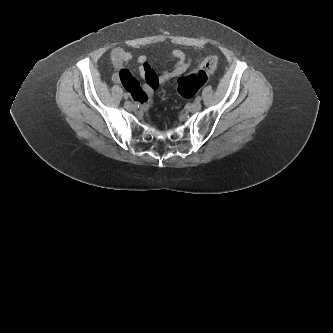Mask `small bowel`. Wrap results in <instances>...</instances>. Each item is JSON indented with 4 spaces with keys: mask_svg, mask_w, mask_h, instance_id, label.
<instances>
[{
    "mask_svg": "<svg viewBox=\"0 0 333 333\" xmlns=\"http://www.w3.org/2000/svg\"><path fill=\"white\" fill-rule=\"evenodd\" d=\"M171 59L175 61V65L171 70L156 73L145 55L137 58L138 73L144 81L143 88L140 89L138 81L132 76L126 68L127 63L132 59L130 52L122 48L116 47L111 50L110 58L115 68L113 81L122 83L129 94L143 105L152 100L154 92L164 84L169 83L174 78L186 73L190 59L180 49H172L169 52Z\"/></svg>",
    "mask_w": 333,
    "mask_h": 333,
    "instance_id": "obj_1",
    "label": "small bowel"
}]
</instances>
